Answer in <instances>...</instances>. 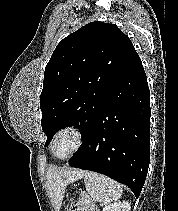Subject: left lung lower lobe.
I'll use <instances>...</instances> for the list:
<instances>
[{
    "mask_svg": "<svg viewBox=\"0 0 178 211\" xmlns=\"http://www.w3.org/2000/svg\"><path fill=\"white\" fill-rule=\"evenodd\" d=\"M150 92L137 53L111 86L103 110L68 164L126 184L138 198L150 160Z\"/></svg>",
    "mask_w": 178,
    "mask_h": 211,
    "instance_id": "obj_1",
    "label": "left lung lower lobe"
}]
</instances>
